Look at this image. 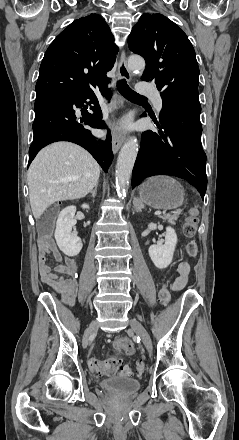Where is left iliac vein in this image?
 Segmentation results:
<instances>
[{"label": "left iliac vein", "mask_w": 239, "mask_h": 440, "mask_svg": "<svg viewBox=\"0 0 239 440\" xmlns=\"http://www.w3.org/2000/svg\"><path fill=\"white\" fill-rule=\"evenodd\" d=\"M131 329L141 338L143 344L147 348L148 352H152V342L149 333L143 327V325L136 319L130 320Z\"/></svg>", "instance_id": "1"}]
</instances>
